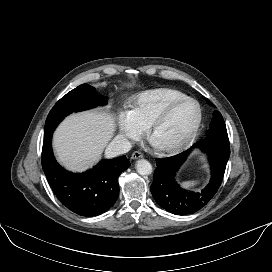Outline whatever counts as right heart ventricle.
I'll return each instance as SVG.
<instances>
[{
	"label": "right heart ventricle",
	"instance_id": "obj_1",
	"mask_svg": "<svg viewBox=\"0 0 272 272\" xmlns=\"http://www.w3.org/2000/svg\"><path fill=\"white\" fill-rule=\"evenodd\" d=\"M183 97H186L183 92L172 88L144 91L131 100L128 111L136 123L145 130L168 104Z\"/></svg>",
	"mask_w": 272,
	"mask_h": 272
}]
</instances>
